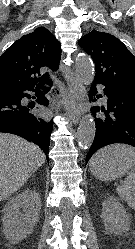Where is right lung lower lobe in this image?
<instances>
[{
    "mask_svg": "<svg viewBox=\"0 0 135 249\" xmlns=\"http://www.w3.org/2000/svg\"><path fill=\"white\" fill-rule=\"evenodd\" d=\"M25 91L37 92L34 88L0 91V132L12 133L38 144L47 156L53 121L41 119L32 111L35 105L23 103V98H31ZM37 102L45 106L49 103L42 96Z\"/></svg>",
    "mask_w": 135,
    "mask_h": 249,
    "instance_id": "right-lung-lower-lobe-1",
    "label": "right lung lower lobe"
}]
</instances>
